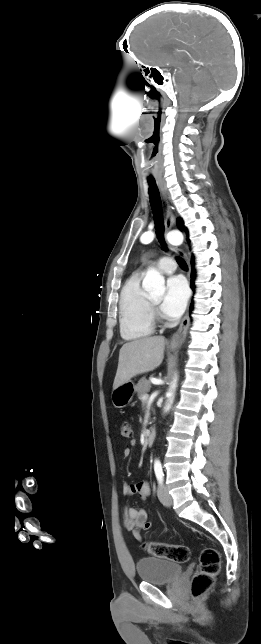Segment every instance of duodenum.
Here are the masks:
<instances>
[{"label": "duodenum", "instance_id": "obj_1", "mask_svg": "<svg viewBox=\"0 0 261 644\" xmlns=\"http://www.w3.org/2000/svg\"><path fill=\"white\" fill-rule=\"evenodd\" d=\"M155 438H156V432H155V430H150V431L147 433V436H146V444H147L148 446L153 445V443H154V441H155Z\"/></svg>", "mask_w": 261, "mask_h": 644}]
</instances>
